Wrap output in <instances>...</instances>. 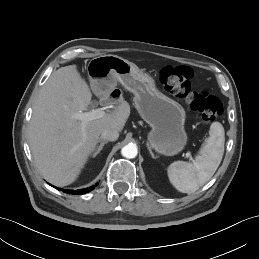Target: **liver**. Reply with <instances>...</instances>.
I'll list each match as a JSON object with an SVG mask.
<instances>
[{
    "instance_id": "obj_1",
    "label": "liver",
    "mask_w": 259,
    "mask_h": 259,
    "mask_svg": "<svg viewBox=\"0 0 259 259\" xmlns=\"http://www.w3.org/2000/svg\"><path fill=\"white\" fill-rule=\"evenodd\" d=\"M92 93L76 65L61 67L41 88L29 125L28 138L35 166L49 183H73L105 129L121 132L130 115L126 102L104 117L82 122L73 117L91 104Z\"/></svg>"
}]
</instances>
